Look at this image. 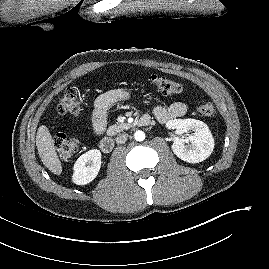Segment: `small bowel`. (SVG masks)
<instances>
[{
  "instance_id": "small-bowel-1",
  "label": "small bowel",
  "mask_w": 269,
  "mask_h": 269,
  "mask_svg": "<svg viewBox=\"0 0 269 269\" xmlns=\"http://www.w3.org/2000/svg\"><path fill=\"white\" fill-rule=\"evenodd\" d=\"M127 98H129V93L120 89L107 91L96 98L92 123L93 129L97 135L102 134L105 130L110 108L115 103L126 100ZM186 112L187 106L183 102H174L168 107L156 105L152 109L153 115L161 123L183 117ZM142 117L150 118V115L144 114Z\"/></svg>"
}]
</instances>
